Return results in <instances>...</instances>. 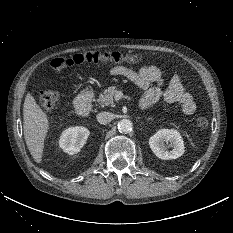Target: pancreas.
Instances as JSON below:
<instances>
[{
    "label": "pancreas",
    "mask_w": 233,
    "mask_h": 233,
    "mask_svg": "<svg viewBox=\"0 0 233 233\" xmlns=\"http://www.w3.org/2000/svg\"><path fill=\"white\" fill-rule=\"evenodd\" d=\"M117 92H119V90L116 86L108 87L102 93L99 94L97 102L101 106H114V100Z\"/></svg>",
    "instance_id": "obj_1"
}]
</instances>
